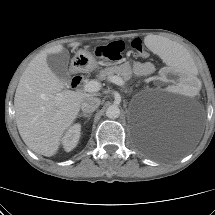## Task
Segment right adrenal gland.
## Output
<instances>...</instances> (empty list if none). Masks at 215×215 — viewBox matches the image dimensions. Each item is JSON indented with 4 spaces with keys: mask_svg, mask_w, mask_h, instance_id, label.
I'll use <instances>...</instances> for the list:
<instances>
[{
    "mask_svg": "<svg viewBox=\"0 0 215 215\" xmlns=\"http://www.w3.org/2000/svg\"><path fill=\"white\" fill-rule=\"evenodd\" d=\"M92 116V114H86V113H81L78 115V117H86V118H89Z\"/></svg>",
    "mask_w": 215,
    "mask_h": 215,
    "instance_id": "right-adrenal-gland-1",
    "label": "right adrenal gland"
}]
</instances>
